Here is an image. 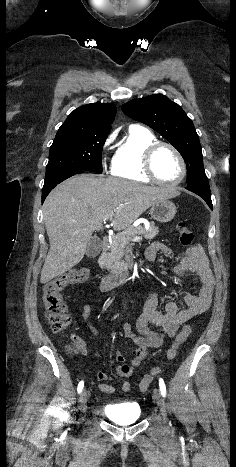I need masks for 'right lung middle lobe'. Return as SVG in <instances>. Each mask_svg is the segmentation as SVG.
I'll use <instances>...</instances> for the list:
<instances>
[{
    "mask_svg": "<svg viewBox=\"0 0 236 467\" xmlns=\"http://www.w3.org/2000/svg\"><path fill=\"white\" fill-rule=\"evenodd\" d=\"M108 134L58 130L50 147L45 178L69 170L102 173V149Z\"/></svg>",
    "mask_w": 236,
    "mask_h": 467,
    "instance_id": "obj_1",
    "label": "right lung middle lobe"
}]
</instances>
